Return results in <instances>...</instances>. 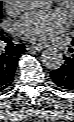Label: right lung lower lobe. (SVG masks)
<instances>
[{"label":"right lung lower lobe","mask_w":74,"mask_h":122,"mask_svg":"<svg viewBox=\"0 0 74 122\" xmlns=\"http://www.w3.org/2000/svg\"><path fill=\"white\" fill-rule=\"evenodd\" d=\"M23 52H25L23 44L14 46L10 51L2 52L0 50V91L10 86L18 59Z\"/></svg>","instance_id":"1"}]
</instances>
